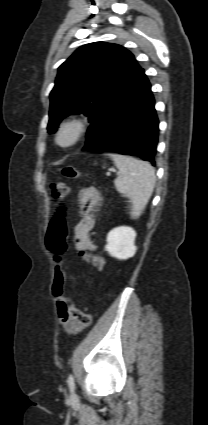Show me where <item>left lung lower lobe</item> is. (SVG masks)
<instances>
[{"mask_svg":"<svg viewBox=\"0 0 208 425\" xmlns=\"http://www.w3.org/2000/svg\"><path fill=\"white\" fill-rule=\"evenodd\" d=\"M154 104L141 69L91 123L84 150L139 156L155 165L159 122Z\"/></svg>","mask_w":208,"mask_h":425,"instance_id":"left-lung-lower-lobe-1","label":"left lung lower lobe"}]
</instances>
